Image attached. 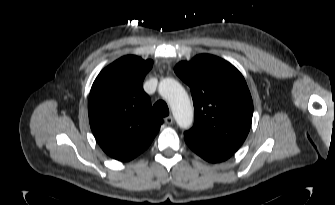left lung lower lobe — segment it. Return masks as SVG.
<instances>
[{"mask_svg": "<svg viewBox=\"0 0 335 205\" xmlns=\"http://www.w3.org/2000/svg\"><path fill=\"white\" fill-rule=\"evenodd\" d=\"M185 142L200 157L212 163L224 161L234 154L232 151L212 149L186 138Z\"/></svg>", "mask_w": 335, "mask_h": 205, "instance_id": "left-lung-lower-lobe-1", "label": "left lung lower lobe"}]
</instances>
